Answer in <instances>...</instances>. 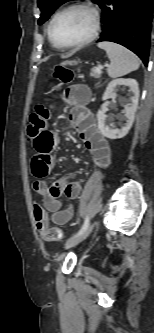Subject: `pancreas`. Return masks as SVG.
Wrapping results in <instances>:
<instances>
[{"instance_id": "1", "label": "pancreas", "mask_w": 154, "mask_h": 333, "mask_svg": "<svg viewBox=\"0 0 154 333\" xmlns=\"http://www.w3.org/2000/svg\"><path fill=\"white\" fill-rule=\"evenodd\" d=\"M102 72H98L96 68L91 69L90 75L94 78H100Z\"/></svg>"}]
</instances>
